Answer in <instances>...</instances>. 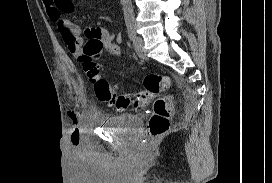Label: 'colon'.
Returning <instances> with one entry per match:
<instances>
[{"label":"colon","instance_id":"5ec220e1","mask_svg":"<svg viewBox=\"0 0 272 183\" xmlns=\"http://www.w3.org/2000/svg\"><path fill=\"white\" fill-rule=\"evenodd\" d=\"M103 49L104 47L100 42L87 41L79 57L100 101L106 102L121 111L129 107L139 110L151 98L170 88L171 80L167 75L149 73L142 80V91L135 95L117 93L100 70L99 59ZM173 112L171 97H160L155 100L153 115L149 122L150 133L153 137H159L167 132Z\"/></svg>","mask_w":272,"mask_h":183}]
</instances>
